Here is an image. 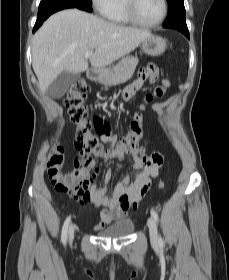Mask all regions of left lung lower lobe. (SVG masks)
<instances>
[{"instance_id": "obj_1", "label": "left lung lower lobe", "mask_w": 229, "mask_h": 280, "mask_svg": "<svg viewBox=\"0 0 229 280\" xmlns=\"http://www.w3.org/2000/svg\"><path fill=\"white\" fill-rule=\"evenodd\" d=\"M164 28H172V29L178 30L181 33H183L187 38H189V31H188L186 22L176 23V24L170 25L168 27H164Z\"/></svg>"}]
</instances>
